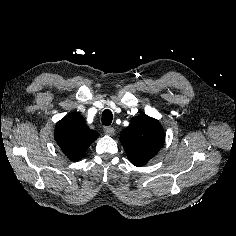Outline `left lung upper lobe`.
<instances>
[{
    "instance_id": "left-lung-upper-lobe-1",
    "label": "left lung upper lobe",
    "mask_w": 236,
    "mask_h": 236,
    "mask_svg": "<svg viewBox=\"0 0 236 236\" xmlns=\"http://www.w3.org/2000/svg\"><path fill=\"white\" fill-rule=\"evenodd\" d=\"M165 140L160 123L146 115L136 116L120 135L129 161L138 167L145 165L162 148Z\"/></svg>"
}]
</instances>
